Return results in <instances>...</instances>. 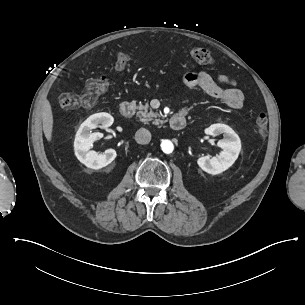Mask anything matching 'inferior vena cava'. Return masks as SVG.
Returning <instances> with one entry per match:
<instances>
[{
  "label": "inferior vena cava",
  "mask_w": 305,
  "mask_h": 305,
  "mask_svg": "<svg viewBox=\"0 0 305 305\" xmlns=\"http://www.w3.org/2000/svg\"><path fill=\"white\" fill-rule=\"evenodd\" d=\"M135 140L138 144H148L151 140V133L147 129L141 128L135 133Z\"/></svg>",
  "instance_id": "inferior-vena-cava-1"
}]
</instances>
